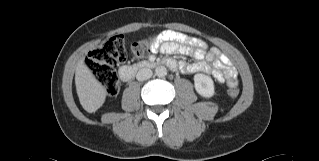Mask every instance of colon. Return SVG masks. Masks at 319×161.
<instances>
[{
	"instance_id": "colon-1",
	"label": "colon",
	"mask_w": 319,
	"mask_h": 161,
	"mask_svg": "<svg viewBox=\"0 0 319 161\" xmlns=\"http://www.w3.org/2000/svg\"><path fill=\"white\" fill-rule=\"evenodd\" d=\"M158 42L157 38L149 37L136 41L132 45V52L136 58L145 57L152 46ZM126 58V45L121 35L107 38L100 46L93 49L88 55V65L93 76L104 87L107 95L113 96L119 90V80L116 66ZM239 88L236 84L228 86V95L236 97Z\"/></svg>"
}]
</instances>
